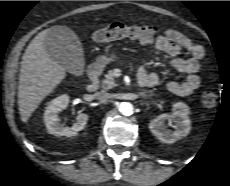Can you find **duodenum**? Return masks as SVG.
<instances>
[{
  "mask_svg": "<svg viewBox=\"0 0 230 186\" xmlns=\"http://www.w3.org/2000/svg\"><path fill=\"white\" fill-rule=\"evenodd\" d=\"M102 66L100 64H92L88 68L89 82L86 85V89L88 92L93 93L97 91L99 87V78L102 74ZM139 85L141 87H147L148 85L144 82L139 81Z\"/></svg>",
  "mask_w": 230,
  "mask_h": 186,
  "instance_id": "obj_1",
  "label": "duodenum"
}]
</instances>
